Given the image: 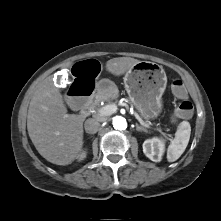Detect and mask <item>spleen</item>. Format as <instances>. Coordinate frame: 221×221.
<instances>
[{
	"mask_svg": "<svg viewBox=\"0 0 221 221\" xmlns=\"http://www.w3.org/2000/svg\"><path fill=\"white\" fill-rule=\"evenodd\" d=\"M190 134L191 127L189 122H181L175 133V138L171 141L167 149V160L169 162L176 161L183 154L188 145Z\"/></svg>",
	"mask_w": 221,
	"mask_h": 221,
	"instance_id": "1",
	"label": "spleen"
}]
</instances>
